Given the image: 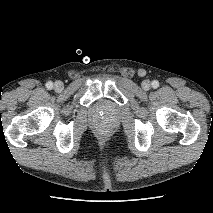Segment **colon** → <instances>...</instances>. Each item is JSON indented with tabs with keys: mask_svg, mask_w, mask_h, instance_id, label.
Returning a JSON list of instances; mask_svg holds the SVG:
<instances>
[{
	"mask_svg": "<svg viewBox=\"0 0 213 213\" xmlns=\"http://www.w3.org/2000/svg\"><path fill=\"white\" fill-rule=\"evenodd\" d=\"M102 135L104 136V135H106V133L104 132V133H102Z\"/></svg>",
	"mask_w": 213,
	"mask_h": 213,
	"instance_id": "colon-1",
	"label": "colon"
}]
</instances>
